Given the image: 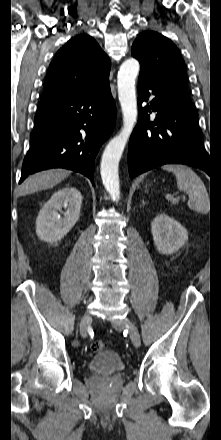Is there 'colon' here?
<instances>
[{
  "mask_svg": "<svg viewBox=\"0 0 221 440\" xmlns=\"http://www.w3.org/2000/svg\"><path fill=\"white\" fill-rule=\"evenodd\" d=\"M106 347H107V344L102 340H96V341L92 342V344H91L92 350H94L96 352L103 351Z\"/></svg>",
  "mask_w": 221,
  "mask_h": 440,
  "instance_id": "1",
  "label": "colon"
}]
</instances>
